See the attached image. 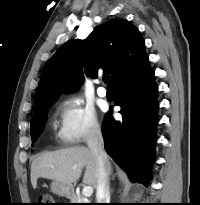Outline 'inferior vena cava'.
<instances>
[{"label":"inferior vena cava","instance_id":"602c4592","mask_svg":"<svg viewBox=\"0 0 200 205\" xmlns=\"http://www.w3.org/2000/svg\"><path fill=\"white\" fill-rule=\"evenodd\" d=\"M87 145L96 158L98 167V184L96 189L97 203H110L109 160L104 150V140L100 127L95 126L91 129L87 139Z\"/></svg>","mask_w":200,"mask_h":205}]
</instances>
